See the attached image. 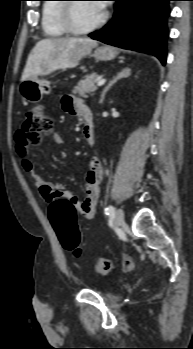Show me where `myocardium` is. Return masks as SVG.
Masks as SVG:
<instances>
[{
  "label": "myocardium",
  "instance_id": "obj_1",
  "mask_svg": "<svg viewBox=\"0 0 193 349\" xmlns=\"http://www.w3.org/2000/svg\"><path fill=\"white\" fill-rule=\"evenodd\" d=\"M76 1V0H68ZM76 2H67L61 6L60 22L64 30L71 35H84L88 34L104 25L107 21L108 14L103 12L102 16L92 25L85 28L76 27L73 19V8Z\"/></svg>",
  "mask_w": 193,
  "mask_h": 349
}]
</instances>
